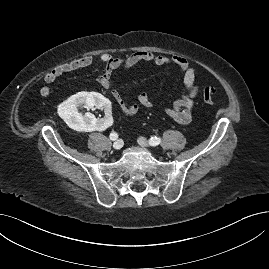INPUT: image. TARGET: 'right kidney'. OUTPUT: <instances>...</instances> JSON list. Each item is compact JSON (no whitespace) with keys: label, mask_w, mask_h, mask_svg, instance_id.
Returning a JSON list of instances; mask_svg holds the SVG:
<instances>
[{"label":"right kidney","mask_w":269,"mask_h":269,"mask_svg":"<svg viewBox=\"0 0 269 269\" xmlns=\"http://www.w3.org/2000/svg\"><path fill=\"white\" fill-rule=\"evenodd\" d=\"M80 106H85L86 108L102 107L105 114L98 119L89 112L83 115L78 111ZM58 113L69 127L78 131L100 133L113 125L110 101L93 92H81L73 95L59 105Z\"/></svg>","instance_id":"ca27d5eb"}]
</instances>
